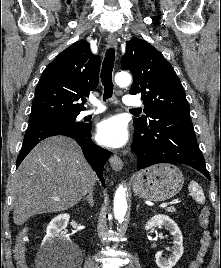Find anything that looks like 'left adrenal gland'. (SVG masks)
Wrapping results in <instances>:
<instances>
[{"label":"left adrenal gland","mask_w":221,"mask_h":268,"mask_svg":"<svg viewBox=\"0 0 221 268\" xmlns=\"http://www.w3.org/2000/svg\"><path fill=\"white\" fill-rule=\"evenodd\" d=\"M139 207H140V205L138 204V205L136 206V209L138 210V209H139Z\"/></svg>","instance_id":"a2214340"}]
</instances>
